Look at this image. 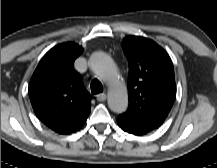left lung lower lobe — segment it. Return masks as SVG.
Instances as JSON below:
<instances>
[{
    "label": "left lung lower lobe",
    "mask_w": 217,
    "mask_h": 168,
    "mask_svg": "<svg viewBox=\"0 0 217 168\" xmlns=\"http://www.w3.org/2000/svg\"><path fill=\"white\" fill-rule=\"evenodd\" d=\"M117 123L122 130H124L125 132H128L130 134L144 135V134L151 132V130H145V129L136 127L132 124H129L128 122L124 121L120 117L117 118Z\"/></svg>",
    "instance_id": "left-lung-lower-lobe-1"
}]
</instances>
